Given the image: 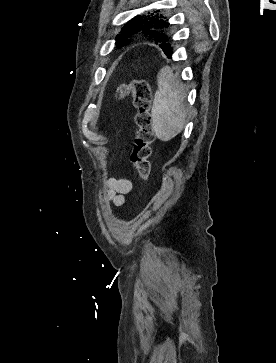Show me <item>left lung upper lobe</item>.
I'll list each match as a JSON object with an SVG mask.
<instances>
[{
	"mask_svg": "<svg viewBox=\"0 0 276 363\" xmlns=\"http://www.w3.org/2000/svg\"><path fill=\"white\" fill-rule=\"evenodd\" d=\"M162 18L165 17L150 12L135 16L127 22L122 28L121 34L116 37L117 47L125 46L130 37L139 34L156 42H160L163 50L168 49L171 45L165 32L169 23Z\"/></svg>",
	"mask_w": 276,
	"mask_h": 363,
	"instance_id": "obj_1",
	"label": "left lung upper lobe"
}]
</instances>
